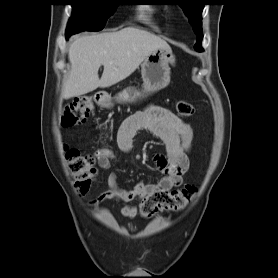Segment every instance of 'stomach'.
Wrapping results in <instances>:
<instances>
[{"instance_id": "obj_1", "label": "stomach", "mask_w": 278, "mask_h": 278, "mask_svg": "<svg viewBox=\"0 0 278 278\" xmlns=\"http://www.w3.org/2000/svg\"><path fill=\"white\" fill-rule=\"evenodd\" d=\"M175 61V55L171 49H156L145 58L141 65L143 95L161 90L170 83L171 66L175 65ZM143 95L136 89L128 87L114 100L118 103H134ZM105 96L100 104L106 108L112 107V98L109 95Z\"/></svg>"}]
</instances>
